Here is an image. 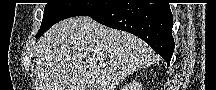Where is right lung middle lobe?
<instances>
[{
  "label": "right lung middle lobe",
  "mask_w": 216,
  "mask_h": 90,
  "mask_svg": "<svg viewBox=\"0 0 216 90\" xmlns=\"http://www.w3.org/2000/svg\"><path fill=\"white\" fill-rule=\"evenodd\" d=\"M111 4H46L41 27L36 35L38 39L55 23L72 16H87L98 12Z\"/></svg>",
  "instance_id": "dd1d6c3e"
}]
</instances>
